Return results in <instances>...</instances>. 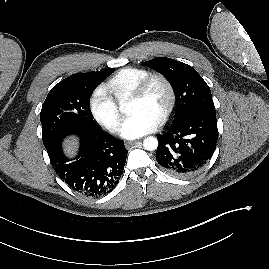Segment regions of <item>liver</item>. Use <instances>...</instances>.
<instances>
[{
	"label": "liver",
	"mask_w": 269,
	"mask_h": 269,
	"mask_svg": "<svg viewBox=\"0 0 269 269\" xmlns=\"http://www.w3.org/2000/svg\"><path fill=\"white\" fill-rule=\"evenodd\" d=\"M75 148H76V143L73 142V141H70L67 143V152L72 154L74 151H75Z\"/></svg>",
	"instance_id": "liver-1"
}]
</instances>
